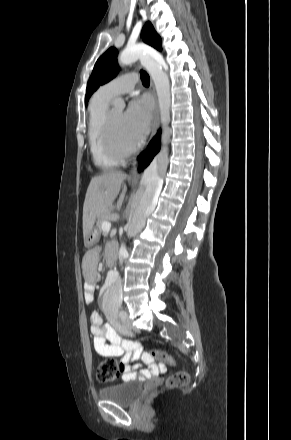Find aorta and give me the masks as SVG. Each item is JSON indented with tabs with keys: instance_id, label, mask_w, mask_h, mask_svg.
<instances>
[{
	"instance_id": "762f6f07",
	"label": "aorta",
	"mask_w": 291,
	"mask_h": 440,
	"mask_svg": "<svg viewBox=\"0 0 291 440\" xmlns=\"http://www.w3.org/2000/svg\"><path fill=\"white\" fill-rule=\"evenodd\" d=\"M149 55L160 68L168 69L162 55L144 44H137L125 48L118 58L121 67L130 65ZM125 108V102L122 98L113 101V110L121 112ZM162 164L157 156L151 164L145 169L140 189L137 195L136 203L132 209L130 220L127 224V236L129 238L138 234L145 226L148 216L154 211L158 196L161 192L163 179L161 176ZM122 299V284L117 275H112L106 283V289L103 296L105 303L118 305Z\"/></svg>"
}]
</instances>
